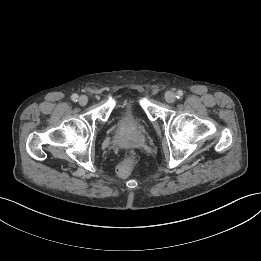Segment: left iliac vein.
<instances>
[{
  "instance_id": "4c4485c4",
  "label": "left iliac vein",
  "mask_w": 261,
  "mask_h": 261,
  "mask_svg": "<svg viewBox=\"0 0 261 261\" xmlns=\"http://www.w3.org/2000/svg\"><path fill=\"white\" fill-rule=\"evenodd\" d=\"M165 100L168 102V103H174L176 101V95L171 92V91H168L166 92L165 94Z\"/></svg>"
}]
</instances>
